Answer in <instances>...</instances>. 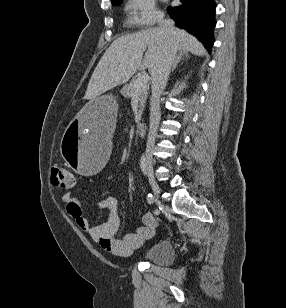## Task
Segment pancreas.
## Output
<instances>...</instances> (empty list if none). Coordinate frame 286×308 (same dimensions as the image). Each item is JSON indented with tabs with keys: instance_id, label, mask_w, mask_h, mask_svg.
Returning a JSON list of instances; mask_svg holds the SVG:
<instances>
[{
	"instance_id": "cf45deb5",
	"label": "pancreas",
	"mask_w": 286,
	"mask_h": 308,
	"mask_svg": "<svg viewBox=\"0 0 286 308\" xmlns=\"http://www.w3.org/2000/svg\"><path fill=\"white\" fill-rule=\"evenodd\" d=\"M137 79H133L129 84L125 85L122 90L121 94L126 98H133L134 96L138 97L139 101V112L137 116V122L141 120L142 112L145 107V103L148 97V90L149 85H146L142 90L136 91L135 84Z\"/></svg>"
}]
</instances>
